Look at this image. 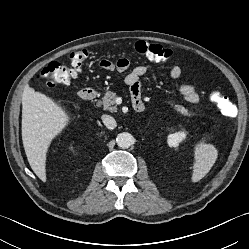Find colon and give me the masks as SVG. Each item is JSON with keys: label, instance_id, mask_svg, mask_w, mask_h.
Returning a JSON list of instances; mask_svg holds the SVG:
<instances>
[{"label": "colon", "instance_id": "colon-1", "mask_svg": "<svg viewBox=\"0 0 249 249\" xmlns=\"http://www.w3.org/2000/svg\"><path fill=\"white\" fill-rule=\"evenodd\" d=\"M135 51L153 62H165L172 55L169 49L146 41L137 42L135 44ZM87 59L88 52L86 50L74 51L69 56L68 65L52 62L38 74V78L43 80L50 87L57 84H66L81 73ZM210 99L217 105L225 117H230L226 112V105H231V103H229L220 91L216 89L212 90L210 92Z\"/></svg>", "mask_w": 249, "mask_h": 249}]
</instances>
